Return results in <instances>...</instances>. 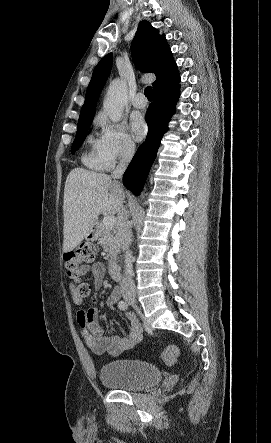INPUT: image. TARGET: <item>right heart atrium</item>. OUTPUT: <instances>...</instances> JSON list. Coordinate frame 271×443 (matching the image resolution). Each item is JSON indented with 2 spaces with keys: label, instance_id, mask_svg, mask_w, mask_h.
Instances as JSON below:
<instances>
[{
  "label": "right heart atrium",
  "instance_id": "right-heart-atrium-1",
  "mask_svg": "<svg viewBox=\"0 0 271 443\" xmlns=\"http://www.w3.org/2000/svg\"><path fill=\"white\" fill-rule=\"evenodd\" d=\"M94 124L101 129L96 150L109 166L134 153L135 143L123 125L111 123L103 112L96 114Z\"/></svg>",
  "mask_w": 271,
  "mask_h": 443
}]
</instances>
